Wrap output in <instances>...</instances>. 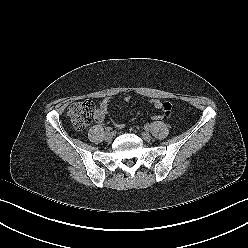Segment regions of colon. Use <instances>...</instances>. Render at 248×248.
<instances>
[{"label":"colon","instance_id":"obj_1","mask_svg":"<svg viewBox=\"0 0 248 248\" xmlns=\"http://www.w3.org/2000/svg\"><path fill=\"white\" fill-rule=\"evenodd\" d=\"M95 105L89 101H79L71 104L67 110V116L76 130H82L87 127L93 120ZM153 121H161L163 116L153 115Z\"/></svg>","mask_w":248,"mask_h":248}]
</instances>
